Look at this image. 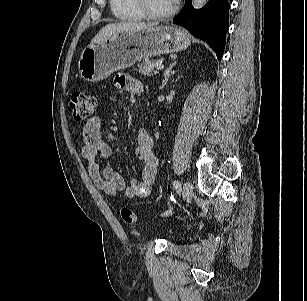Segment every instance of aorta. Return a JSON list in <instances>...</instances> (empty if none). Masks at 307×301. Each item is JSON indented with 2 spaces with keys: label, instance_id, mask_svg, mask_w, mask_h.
<instances>
[{
  "label": "aorta",
  "instance_id": "1",
  "mask_svg": "<svg viewBox=\"0 0 307 301\" xmlns=\"http://www.w3.org/2000/svg\"><path fill=\"white\" fill-rule=\"evenodd\" d=\"M206 0H192L194 8H201L205 4Z\"/></svg>",
  "mask_w": 307,
  "mask_h": 301
}]
</instances>
